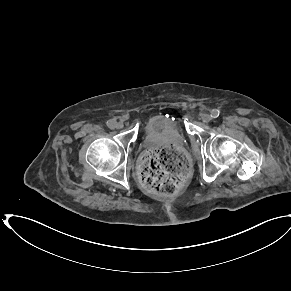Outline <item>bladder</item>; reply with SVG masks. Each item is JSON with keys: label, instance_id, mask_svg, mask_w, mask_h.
I'll return each mask as SVG.
<instances>
[{"label": "bladder", "instance_id": "obj_1", "mask_svg": "<svg viewBox=\"0 0 291 291\" xmlns=\"http://www.w3.org/2000/svg\"><path fill=\"white\" fill-rule=\"evenodd\" d=\"M160 135H171L173 138L182 140L184 129L182 123L166 115L151 117L143 128L145 138H155Z\"/></svg>", "mask_w": 291, "mask_h": 291}]
</instances>
